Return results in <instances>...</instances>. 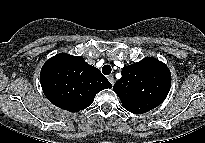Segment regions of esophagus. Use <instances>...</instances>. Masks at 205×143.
<instances>
[{
	"instance_id": "esophagus-1",
	"label": "esophagus",
	"mask_w": 205,
	"mask_h": 143,
	"mask_svg": "<svg viewBox=\"0 0 205 143\" xmlns=\"http://www.w3.org/2000/svg\"><path fill=\"white\" fill-rule=\"evenodd\" d=\"M108 80L112 85L115 83V79L113 76H108Z\"/></svg>"
}]
</instances>
